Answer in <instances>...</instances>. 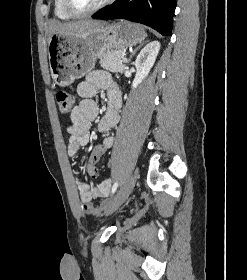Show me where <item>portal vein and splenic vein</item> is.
I'll list each match as a JSON object with an SVG mask.
<instances>
[{"mask_svg":"<svg viewBox=\"0 0 247 280\" xmlns=\"http://www.w3.org/2000/svg\"><path fill=\"white\" fill-rule=\"evenodd\" d=\"M124 55H125V54H124ZM122 61H123V62H127V58L123 57V58H122Z\"/></svg>","mask_w":247,"mask_h":280,"instance_id":"portal-vein-and-splenic-vein-1","label":"portal vein and splenic vein"}]
</instances>
